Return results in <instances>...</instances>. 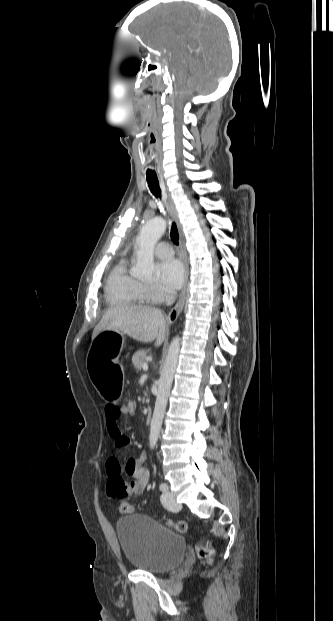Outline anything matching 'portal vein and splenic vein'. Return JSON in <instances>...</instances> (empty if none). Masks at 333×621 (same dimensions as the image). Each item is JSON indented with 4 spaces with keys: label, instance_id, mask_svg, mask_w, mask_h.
<instances>
[{
    "label": "portal vein and splenic vein",
    "instance_id": "18ae733b",
    "mask_svg": "<svg viewBox=\"0 0 333 621\" xmlns=\"http://www.w3.org/2000/svg\"><path fill=\"white\" fill-rule=\"evenodd\" d=\"M142 369H143L144 371H147V370H148V365H147V364H143Z\"/></svg>",
    "mask_w": 333,
    "mask_h": 621
}]
</instances>
